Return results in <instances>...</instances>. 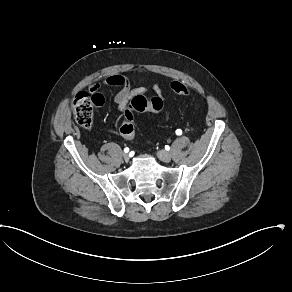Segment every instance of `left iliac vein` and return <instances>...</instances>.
<instances>
[{"label":"left iliac vein","mask_w":292,"mask_h":292,"mask_svg":"<svg viewBox=\"0 0 292 292\" xmlns=\"http://www.w3.org/2000/svg\"><path fill=\"white\" fill-rule=\"evenodd\" d=\"M157 156L163 162L168 163V162L171 161V154L169 152H167V151L160 150V151H158Z\"/></svg>","instance_id":"left-iliac-vein-1"}]
</instances>
